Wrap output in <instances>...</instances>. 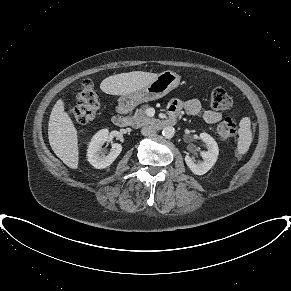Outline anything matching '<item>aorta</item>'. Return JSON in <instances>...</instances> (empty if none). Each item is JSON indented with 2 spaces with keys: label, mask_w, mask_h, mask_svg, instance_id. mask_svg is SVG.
Returning a JSON list of instances; mask_svg holds the SVG:
<instances>
[{
  "label": "aorta",
  "mask_w": 291,
  "mask_h": 291,
  "mask_svg": "<svg viewBox=\"0 0 291 291\" xmlns=\"http://www.w3.org/2000/svg\"><path fill=\"white\" fill-rule=\"evenodd\" d=\"M174 134H175V129L172 126H165L162 130V135L167 139L172 138Z\"/></svg>",
  "instance_id": "762f6f07"
}]
</instances>
